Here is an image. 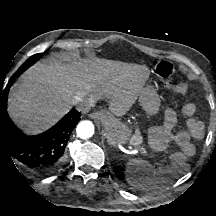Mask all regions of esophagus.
Listing matches in <instances>:
<instances>
[{"label":"esophagus","instance_id":"1","mask_svg":"<svg viewBox=\"0 0 216 216\" xmlns=\"http://www.w3.org/2000/svg\"><path fill=\"white\" fill-rule=\"evenodd\" d=\"M90 116L94 119H102L104 117V114L102 111H97L92 113Z\"/></svg>","mask_w":216,"mask_h":216}]
</instances>
